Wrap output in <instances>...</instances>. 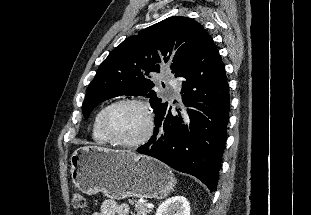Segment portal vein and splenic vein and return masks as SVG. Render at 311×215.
<instances>
[{
	"label": "portal vein and splenic vein",
	"instance_id": "obj_1",
	"mask_svg": "<svg viewBox=\"0 0 311 215\" xmlns=\"http://www.w3.org/2000/svg\"><path fill=\"white\" fill-rule=\"evenodd\" d=\"M147 207H148V208H153V207H154V205H153V204H151V203H147Z\"/></svg>",
	"mask_w": 311,
	"mask_h": 215
}]
</instances>
